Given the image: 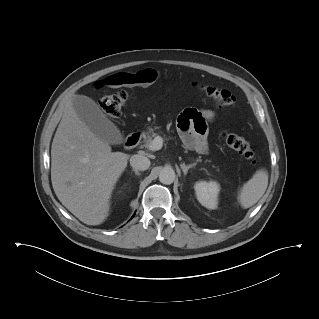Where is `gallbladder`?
<instances>
[{"label":"gallbladder","instance_id":"bac80fb5","mask_svg":"<svg viewBox=\"0 0 319 319\" xmlns=\"http://www.w3.org/2000/svg\"><path fill=\"white\" fill-rule=\"evenodd\" d=\"M72 104L78 117L99 139L116 145L123 142V136L113 122H111L99 106L89 97L76 95Z\"/></svg>","mask_w":319,"mask_h":319}]
</instances>
